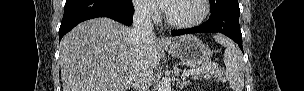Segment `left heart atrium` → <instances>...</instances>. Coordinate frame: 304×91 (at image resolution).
<instances>
[{"instance_id":"39dd6f15","label":"left heart atrium","mask_w":304,"mask_h":91,"mask_svg":"<svg viewBox=\"0 0 304 91\" xmlns=\"http://www.w3.org/2000/svg\"><path fill=\"white\" fill-rule=\"evenodd\" d=\"M149 2L154 3V4H157L158 6H164L163 3H164L165 1H163V0H151V1H149Z\"/></svg>"}]
</instances>
